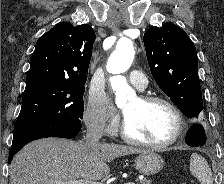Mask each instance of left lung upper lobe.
I'll list each match as a JSON object with an SVG mask.
<instances>
[{
  "mask_svg": "<svg viewBox=\"0 0 224 184\" xmlns=\"http://www.w3.org/2000/svg\"><path fill=\"white\" fill-rule=\"evenodd\" d=\"M143 40L148 64L158 86L186 117L198 121L203 102L193 42L172 23L149 28Z\"/></svg>",
  "mask_w": 224,
  "mask_h": 184,
  "instance_id": "obj_1",
  "label": "left lung upper lobe"
}]
</instances>
